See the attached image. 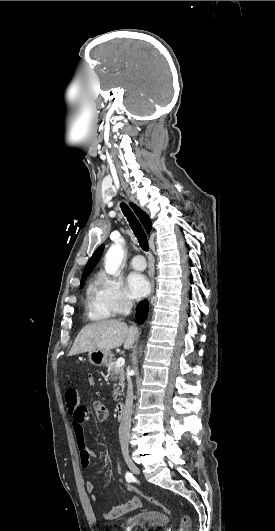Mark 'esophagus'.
Here are the masks:
<instances>
[{
  "label": "esophagus",
  "instance_id": "esophagus-1",
  "mask_svg": "<svg viewBox=\"0 0 275 531\" xmlns=\"http://www.w3.org/2000/svg\"><path fill=\"white\" fill-rule=\"evenodd\" d=\"M154 291V280L152 279L151 280V294L153 293Z\"/></svg>",
  "mask_w": 275,
  "mask_h": 531
}]
</instances>
